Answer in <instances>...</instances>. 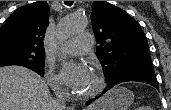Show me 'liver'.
<instances>
[{"label":"liver","mask_w":171,"mask_h":110,"mask_svg":"<svg viewBox=\"0 0 171 110\" xmlns=\"http://www.w3.org/2000/svg\"><path fill=\"white\" fill-rule=\"evenodd\" d=\"M100 103L89 109L96 110ZM0 110L57 109L43 78L22 66H6L0 68Z\"/></svg>","instance_id":"obj_1"}]
</instances>
